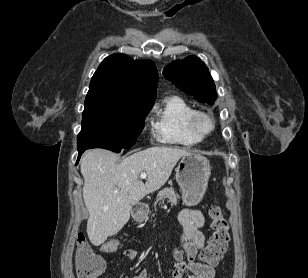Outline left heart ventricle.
<instances>
[{"label":"left heart ventricle","instance_id":"obj_1","mask_svg":"<svg viewBox=\"0 0 308 278\" xmlns=\"http://www.w3.org/2000/svg\"><path fill=\"white\" fill-rule=\"evenodd\" d=\"M199 128L203 131H206L210 128V124L206 119H200Z\"/></svg>","mask_w":308,"mask_h":278}]
</instances>
